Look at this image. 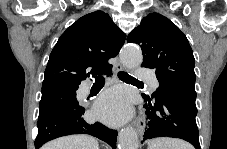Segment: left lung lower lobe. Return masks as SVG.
<instances>
[{
  "label": "left lung lower lobe",
  "instance_id": "0a47b994",
  "mask_svg": "<svg viewBox=\"0 0 227 149\" xmlns=\"http://www.w3.org/2000/svg\"><path fill=\"white\" fill-rule=\"evenodd\" d=\"M142 96L146 102L144 108L147 117L143 140L180 138L200 149L195 101L175 94H165L156 99L145 94Z\"/></svg>",
  "mask_w": 227,
  "mask_h": 149
}]
</instances>
